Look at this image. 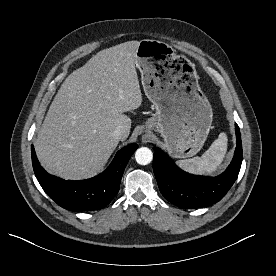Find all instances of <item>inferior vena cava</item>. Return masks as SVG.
Returning <instances> with one entry per match:
<instances>
[{
	"label": "inferior vena cava",
	"instance_id": "602c4592",
	"mask_svg": "<svg viewBox=\"0 0 276 276\" xmlns=\"http://www.w3.org/2000/svg\"><path fill=\"white\" fill-rule=\"evenodd\" d=\"M113 136L116 140H124L128 136V131L122 126L119 125L113 132Z\"/></svg>",
	"mask_w": 276,
	"mask_h": 276
}]
</instances>
